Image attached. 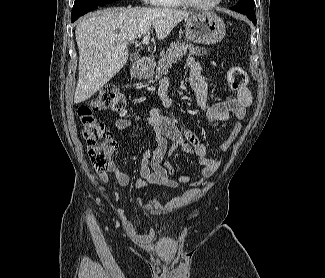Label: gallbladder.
I'll return each instance as SVG.
<instances>
[{
    "instance_id": "gallbladder-1",
    "label": "gallbladder",
    "mask_w": 325,
    "mask_h": 278,
    "mask_svg": "<svg viewBox=\"0 0 325 278\" xmlns=\"http://www.w3.org/2000/svg\"><path fill=\"white\" fill-rule=\"evenodd\" d=\"M139 58V55L137 53H134L131 55L132 60H137Z\"/></svg>"
}]
</instances>
